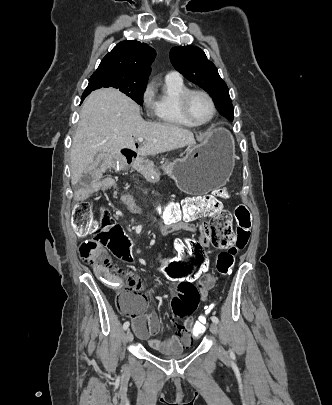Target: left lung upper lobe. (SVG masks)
Returning a JSON list of instances; mask_svg holds the SVG:
<instances>
[{
	"label": "left lung upper lobe",
	"instance_id": "5c2ea615",
	"mask_svg": "<svg viewBox=\"0 0 332 405\" xmlns=\"http://www.w3.org/2000/svg\"><path fill=\"white\" fill-rule=\"evenodd\" d=\"M170 60L174 68L185 78L210 94L222 116L233 120L234 108L229 89L203 50L195 46L173 47L170 50Z\"/></svg>",
	"mask_w": 332,
	"mask_h": 405
}]
</instances>
